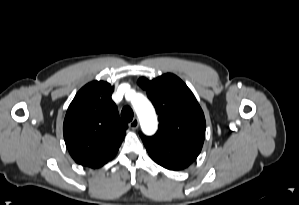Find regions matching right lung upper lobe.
Segmentation results:
<instances>
[{
    "label": "right lung upper lobe",
    "mask_w": 299,
    "mask_h": 205,
    "mask_svg": "<svg viewBox=\"0 0 299 205\" xmlns=\"http://www.w3.org/2000/svg\"><path fill=\"white\" fill-rule=\"evenodd\" d=\"M113 87L104 81L85 85L71 102L63 125L72 158L80 165L99 168L114 158L127 125L111 99Z\"/></svg>",
    "instance_id": "right-lung-upper-lobe-1"
}]
</instances>
